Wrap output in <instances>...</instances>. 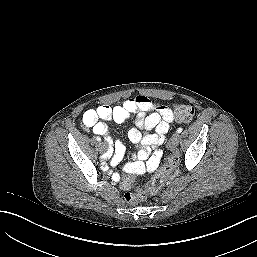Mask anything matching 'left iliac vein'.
<instances>
[{
  "instance_id": "4c4485c4",
  "label": "left iliac vein",
  "mask_w": 257,
  "mask_h": 257,
  "mask_svg": "<svg viewBox=\"0 0 257 257\" xmlns=\"http://www.w3.org/2000/svg\"><path fill=\"white\" fill-rule=\"evenodd\" d=\"M179 141H180L179 133H174L172 138H171V140H170V142H169V145L171 147L176 146L179 143Z\"/></svg>"
}]
</instances>
